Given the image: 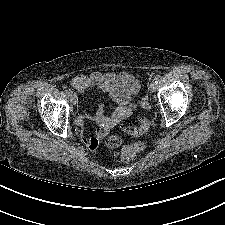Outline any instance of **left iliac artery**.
I'll use <instances>...</instances> for the list:
<instances>
[{
  "label": "left iliac artery",
  "instance_id": "obj_1",
  "mask_svg": "<svg viewBox=\"0 0 225 225\" xmlns=\"http://www.w3.org/2000/svg\"><path fill=\"white\" fill-rule=\"evenodd\" d=\"M160 80H161L160 75L155 76L154 81H155L156 84H158L160 82Z\"/></svg>",
  "mask_w": 225,
  "mask_h": 225
}]
</instances>
